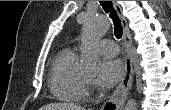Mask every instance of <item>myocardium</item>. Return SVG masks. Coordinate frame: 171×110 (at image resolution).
<instances>
[{"mask_svg":"<svg viewBox=\"0 0 171 110\" xmlns=\"http://www.w3.org/2000/svg\"><path fill=\"white\" fill-rule=\"evenodd\" d=\"M82 81H83V84H84L86 90H88L90 88L91 83L84 78H82Z\"/></svg>","mask_w":171,"mask_h":110,"instance_id":"f54148a6","label":"myocardium"}]
</instances>
